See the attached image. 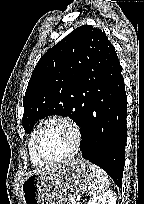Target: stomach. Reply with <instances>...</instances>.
Wrapping results in <instances>:
<instances>
[{
	"label": "stomach",
	"mask_w": 144,
	"mask_h": 204,
	"mask_svg": "<svg viewBox=\"0 0 144 204\" xmlns=\"http://www.w3.org/2000/svg\"><path fill=\"white\" fill-rule=\"evenodd\" d=\"M91 183V164L83 159L71 160L26 177L22 197L24 204H68Z\"/></svg>",
	"instance_id": "0dacf381"
}]
</instances>
